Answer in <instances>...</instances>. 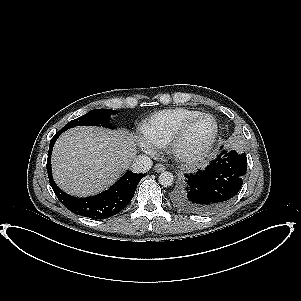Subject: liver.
Masks as SVG:
<instances>
[{
	"label": "liver",
	"instance_id": "obj_1",
	"mask_svg": "<svg viewBox=\"0 0 301 301\" xmlns=\"http://www.w3.org/2000/svg\"><path fill=\"white\" fill-rule=\"evenodd\" d=\"M135 139L122 130L80 126L64 132L52 152V171L66 193L86 197L104 191L129 168Z\"/></svg>",
	"mask_w": 301,
	"mask_h": 301
}]
</instances>
